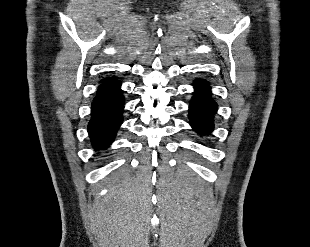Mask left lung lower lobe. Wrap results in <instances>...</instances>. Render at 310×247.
Listing matches in <instances>:
<instances>
[{"instance_id":"obj_1","label":"left lung lower lobe","mask_w":310,"mask_h":247,"mask_svg":"<svg viewBox=\"0 0 310 247\" xmlns=\"http://www.w3.org/2000/svg\"><path fill=\"white\" fill-rule=\"evenodd\" d=\"M194 97L190 102V125L200 134H208L213 130V115L216 113L217 104L211 99V91L204 80L194 82Z\"/></svg>"}]
</instances>
